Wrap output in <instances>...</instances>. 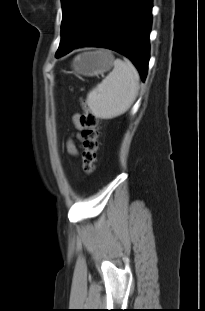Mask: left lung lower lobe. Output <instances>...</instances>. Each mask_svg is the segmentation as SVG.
Returning a JSON list of instances; mask_svg holds the SVG:
<instances>
[{
  "mask_svg": "<svg viewBox=\"0 0 205 311\" xmlns=\"http://www.w3.org/2000/svg\"><path fill=\"white\" fill-rule=\"evenodd\" d=\"M152 0H116L101 22L79 43L55 55L83 46L112 49L128 57L145 80L149 61Z\"/></svg>",
  "mask_w": 205,
  "mask_h": 311,
  "instance_id": "left-lung-lower-lobe-1",
  "label": "left lung lower lobe"
}]
</instances>
